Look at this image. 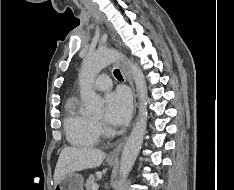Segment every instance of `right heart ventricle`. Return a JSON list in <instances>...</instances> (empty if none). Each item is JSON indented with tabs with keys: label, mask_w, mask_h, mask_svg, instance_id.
<instances>
[{
	"label": "right heart ventricle",
	"mask_w": 234,
	"mask_h": 190,
	"mask_svg": "<svg viewBox=\"0 0 234 190\" xmlns=\"http://www.w3.org/2000/svg\"><path fill=\"white\" fill-rule=\"evenodd\" d=\"M64 130L70 144L78 147H92L100 139L96 122L84 114L78 99L71 97L65 104Z\"/></svg>",
	"instance_id": "right-heart-ventricle-1"
}]
</instances>
